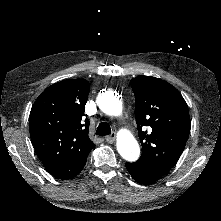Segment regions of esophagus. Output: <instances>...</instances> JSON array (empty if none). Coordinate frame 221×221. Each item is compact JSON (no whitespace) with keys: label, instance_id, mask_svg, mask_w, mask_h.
I'll use <instances>...</instances> for the list:
<instances>
[{"label":"esophagus","instance_id":"obj_1","mask_svg":"<svg viewBox=\"0 0 221 221\" xmlns=\"http://www.w3.org/2000/svg\"><path fill=\"white\" fill-rule=\"evenodd\" d=\"M116 133L115 132H113L110 136H106L105 137V140L108 142V143H110V144H112L114 141H115V139H116Z\"/></svg>","mask_w":221,"mask_h":221}]
</instances>
